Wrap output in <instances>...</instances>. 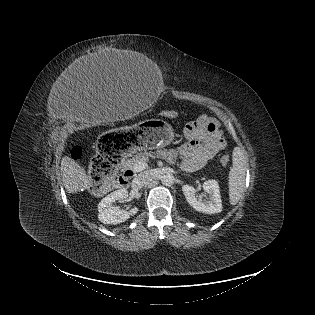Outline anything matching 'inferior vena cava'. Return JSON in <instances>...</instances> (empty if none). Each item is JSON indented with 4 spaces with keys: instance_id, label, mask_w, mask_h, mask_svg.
<instances>
[{
    "instance_id": "1",
    "label": "inferior vena cava",
    "mask_w": 315,
    "mask_h": 315,
    "mask_svg": "<svg viewBox=\"0 0 315 315\" xmlns=\"http://www.w3.org/2000/svg\"><path fill=\"white\" fill-rule=\"evenodd\" d=\"M152 178L151 171H144L138 174L132 181V186L135 188H142Z\"/></svg>"
}]
</instances>
